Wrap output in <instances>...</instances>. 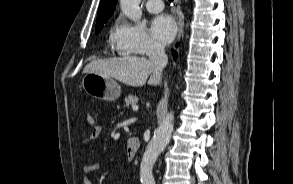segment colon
Instances as JSON below:
<instances>
[{"instance_id": "1", "label": "colon", "mask_w": 293, "mask_h": 184, "mask_svg": "<svg viewBox=\"0 0 293 184\" xmlns=\"http://www.w3.org/2000/svg\"><path fill=\"white\" fill-rule=\"evenodd\" d=\"M86 119H87V123L89 125H94L95 124V118H94V116L92 114H88Z\"/></svg>"}]
</instances>
